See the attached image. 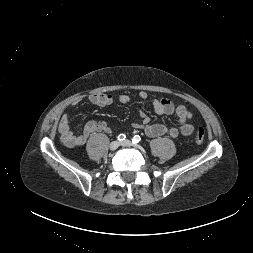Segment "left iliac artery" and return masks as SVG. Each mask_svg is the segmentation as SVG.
Returning a JSON list of instances; mask_svg holds the SVG:
<instances>
[{
  "label": "left iliac artery",
  "instance_id": "44dca946",
  "mask_svg": "<svg viewBox=\"0 0 253 253\" xmlns=\"http://www.w3.org/2000/svg\"><path fill=\"white\" fill-rule=\"evenodd\" d=\"M141 141V137L139 135H135L132 139L133 144H137Z\"/></svg>",
  "mask_w": 253,
  "mask_h": 253
}]
</instances>
